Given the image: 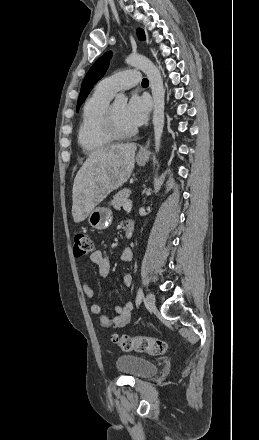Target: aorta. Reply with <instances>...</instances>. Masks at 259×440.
Masks as SVG:
<instances>
[{
    "instance_id": "762f6f07",
    "label": "aorta",
    "mask_w": 259,
    "mask_h": 440,
    "mask_svg": "<svg viewBox=\"0 0 259 440\" xmlns=\"http://www.w3.org/2000/svg\"><path fill=\"white\" fill-rule=\"evenodd\" d=\"M126 63L143 71L148 80L152 91L154 111L153 126L155 137V151L159 152L161 137L164 127V87L161 74L158 68L146 57L138 54H131L126 58ZM128 98L124 94L115 97V103L126 104Z\"/></svg>"
}]
</instances>
